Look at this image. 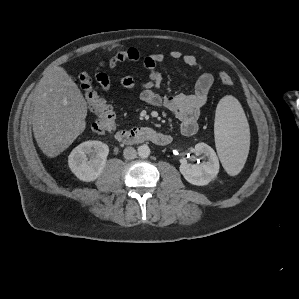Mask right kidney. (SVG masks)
Returning <instances> with one entry per match:
<instances>
[{"mask_svg":"<svg viewBox=\"0 0 299 299\" xmlns=\"http://www.w3.org/2000/svg\"><path fill=\"white\" fill-rule=\"evenodd\" d=\"M109 147L101 141H86L75 147L68 156V165L81 181L96 180L103 172Z\"/></svg>","mask_w":299,"mask_h":299,"instance_id":"right-kidney-1","label":"right kidney"}]
</instances>
